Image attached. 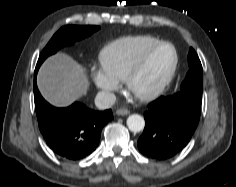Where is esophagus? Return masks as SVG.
Segmentation results:
<instances>
[{"instance_id":"obj_1","label":"esophagus","mask_w":236,"mask_h":187,"mask_svg":"<svg viewBox=\"0 0 236 187\" xmlns=\"http://www.w3.org/2000/svg\"><path fill=\"white\" fill-rule=\"evenodd\" d=\"M129 113L130 111L126 108H119L116 110V114L120 116H125V115H128Z\"/></svg>"}]
</instances>
